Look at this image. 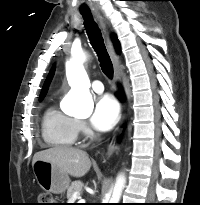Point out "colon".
I'll list each match as a JSON object with an SVG mask.
<instances>
[{
	"mask_svg": "<svg viewBox=\"0 0 200 205\" xmlns=\"http://www.w3.org/2000/svg\"><path fill=\"white\" fill-rule=\"evenodd\" d=\"M52 203H53V200L50 194L42 193L39 195L37 205H53Z\"/></svg>",
	"mask_w": 200,
	"mask_h": 205,
	"instance_id": "1",
	"label": "colon"
}]
</instances>
